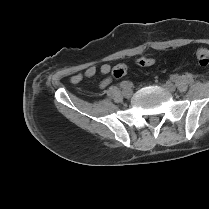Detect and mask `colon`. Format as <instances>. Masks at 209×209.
<instances>
[{
  "label": "colon",
  "instance_id": "1",
  "mask_svg": "<svg viewBox=\"0 0 209 209\" xmlns=\"http://www.w3.org/2000/svg\"><path fill=\"white\" fill-rule=\"evenodd\" d=\"M197 62L201 67L209 68V50L206 48H200L196 52ZM154 60L151 58H142L137 63L142 67H149L154 64ZM126 73V67L124 65H117L112 70V76L114 78H121Z\"/></svg>",
  "mask_w": 209,
  "mask_h": 209
}]
</instances>
